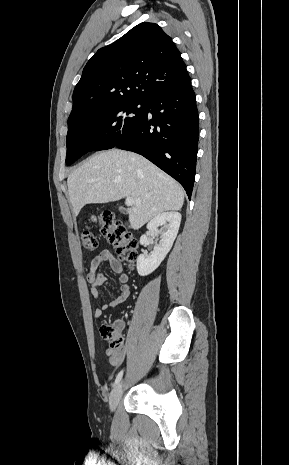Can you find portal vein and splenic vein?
I'll use <instances>...</instances> for the list:
<instances>
[{"instance_id":"portal-vein-and-splenic-vein-1","label":"portal vein and splenic vein","mask_w":289,"mask_h":465,"mask_svg":"<svg viewBox=\"0 0 289 465\" xmlns=\"http://www.w3.org/2000/svg\"><path fill=\"white\" fill-rule=\"evenodd\" d=\"M125 203H126L127 206H132L135 203V201H134L133 198L128 197V198H126Z\"/></svg>"}]
</instances>
